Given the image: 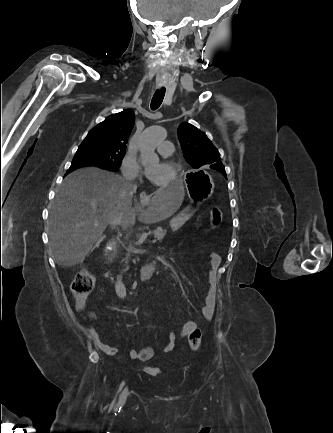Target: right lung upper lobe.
<instances>
[{
	"instance_id": "obj_1",
	"label": "right lung upper lobe",
	"mask_w": 333,
	"mask_h": 433,
	"mask_svg": "<svg viewBox=\"0 0 333 433\" xmlns=\"http://www.w3.org/2000/svg\"><path fill=\"white\" fill-rule=\"evenodd\" d=\"M134 122L135 115L131 109L112 114L92 128L84 141L105 148L126 149Z\"/></svg>"
}]
</instances>
